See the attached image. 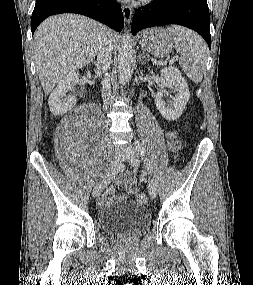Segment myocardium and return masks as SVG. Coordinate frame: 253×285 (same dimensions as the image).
Instances as JSON below:
<instances>
[{"mask_svg":"<svg viewBox=\"0 0 253 285\" xmlns=\"http://www.w3.org/2000/svg\"><path fill=\"white\" fill-rule=\"evenodd\" d=\"M142 1H144V2H149V1H151V0H142Z\"/></svg>","mask_w":253,"mask_h":285,"instance_id":"myocardium-1","label":"myocardium"}]
</instances>
